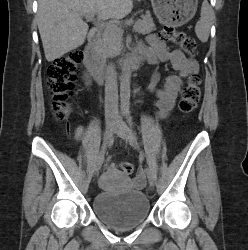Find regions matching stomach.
Wrapping results in <instances>:
<instances>
[{
  "label": "stomach",
  "mask_w": 248,
  "mask_h": 250,
  "mask_svg": "<svg viewBox=\"0 0 248 250\" xmlns=\"http://www.w3.org/2000/svg\"><path fill=\"white\" fill-rule=\"evenodd\" d=\"M154 14L164 25L181 26L197 11L198 0H151Z\"/></svg>",
  "instance_id": "obj_1"
}]
</instances>
